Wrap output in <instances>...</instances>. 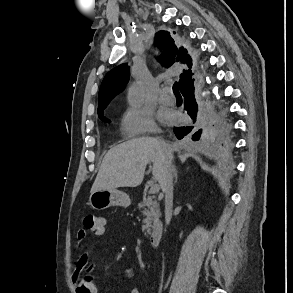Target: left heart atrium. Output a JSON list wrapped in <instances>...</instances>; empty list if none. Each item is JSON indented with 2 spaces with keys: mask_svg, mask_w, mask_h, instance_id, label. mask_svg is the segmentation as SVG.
I'll return each instance as SVG.
<instances>
[{
  "mask_svg": "<svg viewBox=\"0 0 293 293\" xmlns=\"http://www.w3.org/2000/svg\"><path fill=\"white\" fill-rule=\"evenodd\" d=\"M160 119L166 123L176 122L178 120L177 114L172 111H162L160 113Z\"/></svg>",
  "mask_w": 293,
  "mask_h": 293,
  "instance_id": "39dd6f15",
  "label": "left heart atrium"
}]
</instances>
